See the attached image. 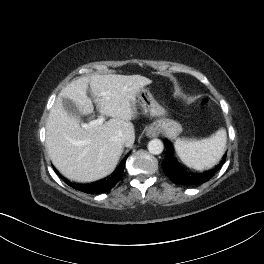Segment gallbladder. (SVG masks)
<instances>
[{"mask_svg": "<svg viewBox=\"0 0 264 264\" xmlns=\"http://www.w3.org/2000/svg\"><path fill=\"white\" fill-rule=\"evenodd\" d=\"M63 106L71 116H74L78 119L80 118L81 113L79 112L77 106L71 100L63 98Z\"/></svg>", "mask_w": 264, "mask_h": 264, "instance_id": "obj_1", "label": "gallbladder"}]
</instances>
